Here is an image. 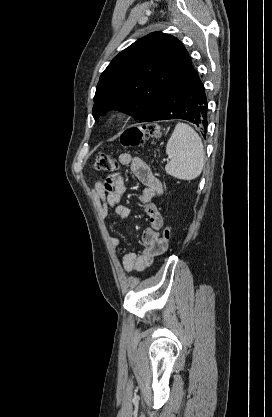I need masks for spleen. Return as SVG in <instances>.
Segmentation results:
<instances>
[{"mask_svg": "<svg viewBox=\"0 0 272 417\" xmlns=\"http://www.w3.org/2000/svg\"><path fill=\"white\" fill-rule=\"evenodd\" d=\"M166 153L170 161L166 164V172L178 179L193 180L204 167L205 152L201 138L186 123H178L168 140Z\"/></svg>", "mask_w": 272, "mask_h": 417, "instance_id": "spleen-1", "label": "spleen"}]
</instances>
